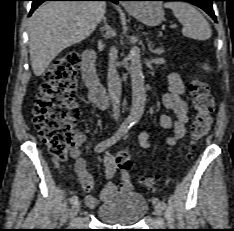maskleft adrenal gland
<instances>
[{"instance_id": "left-adrenal-gland-1", "label": "left adrenal gland", "mask_w": 234, "mask_h": 231, "mask_svg": "<svg viewBox=\"0 0 234 231\" xmlns=\"http://www.w3.org/2000/svg\"><path fill=\"white\" fill-rule=\"evenodd\" d=\"M148 48L152 53H155L158 55H160L163 52V50L161 48L154 49L152 43L149 40H148Z\"/></svg>"}]
</instances>
